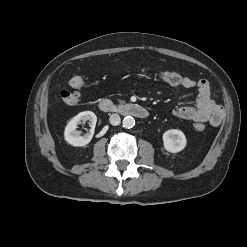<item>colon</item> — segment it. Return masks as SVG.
<instances>
[{"mask_svg": "<svg viewBox=\"0 0 247 247\" xmlns=\"http://www.w3.org/2000/svg\"><path fill=\"white\" fill-rule=\"evenodd\" d=\"M158 76L161 80L173 86L180 85L183 80V77L180 74L170 71L159 72ZM84 85L85 80L81 75H75L72 77L70 80V86L73 90H64L61 92L63 102L71 106L77 105L81 101V95L78 90L82 89ZM193 128L195 131L201 132L204 130L205 125L202 122H195Z\"/></svg>", "mask_w": 247, "mask_h": 247, "instance_id": "colon-1", "label": "colon"}]
</instances>
